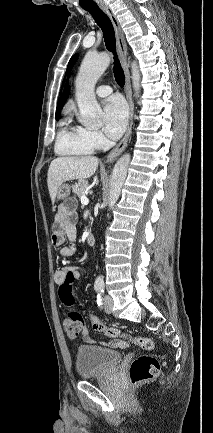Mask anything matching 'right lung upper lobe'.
<instances>
[{"mask_svg": "<svg viewBox=\"0 0 213 433\" xmlns=\"http://www.w3.org/2000/svg\"><path fill=\"white\" fill-rule=\"evenodd\" d=\"M68 96H69V80H67L64 92L59 99V102H58V105L56 108V119H58L60 117L61 109L63 108Z\"/></svg>", "mask_w": 213, "mask_h": 433, "instance_id": "1", "label": "right lung upper lobe"}]
</instances>
